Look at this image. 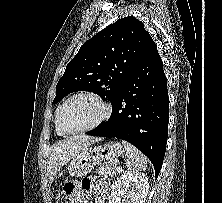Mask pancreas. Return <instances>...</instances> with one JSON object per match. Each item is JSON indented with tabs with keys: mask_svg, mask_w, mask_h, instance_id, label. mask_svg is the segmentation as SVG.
<instances>
[{
	"mask_svg": "<svg viewBox=\"0 0 222 203\" xmlns=\"http://www.w3.org/2000/svg\"><path fill=\"white\" fill-rule=\"evenodd\" d=\"M117 168H118V162L116 160H109L106 161L99 168H97L96 172H98L102 176L109 175L110 177H113L116 174Z\"/></svg>",
	"mask_w": 222,
	"mask_h": 203,
	"instance_id": "1",
	"label": "pancreas"
}]
</instances>
